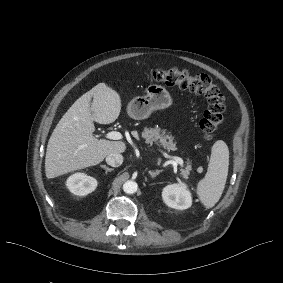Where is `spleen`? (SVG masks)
Returning a JSON list of instances; mask_svg holds the SVG:
<instances>
[{"mask_svg":"<svg viewBox=\"0 0 283 283\" xmlns=\"http://www.w3.org/2000/svg\"><path fill=\"white\" fill-rule=\"evenodd\" d=\"M228 166V147L225 142L216 141L211 149L207 173L197 186V194L206 209L212 208L219 201L225 188Z\"/></svg>","mask_w":283,"mask_h":283,"instance_id":"obj_1","label":"spleen"}]
</instances>
